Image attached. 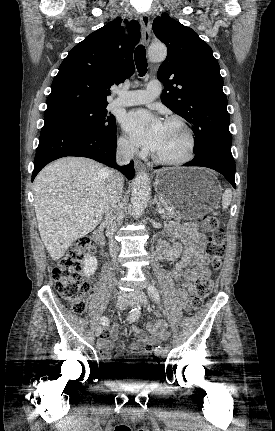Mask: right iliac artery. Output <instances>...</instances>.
<instances>
[{
  "mask_svg": "<svg viewBox=\"0 0 275 431\" xmlns=\"http://www.w3.org/2000/svg\"><path fill=\"white\" fill-rule=\"evenodd\" d=\"M140 316V306L137 305L134 308H132V310L130 311L129 315H128V321L129 322H135L136 320H138ZM100 323L105 326L108 325L109 320L106 316H103L100 318Z\"/></svg>",
  "mask_w": 275,
  "mask_h": 431,
  "instance_id": "right-iliac-artery-1",
  "label": "right iliac artery"
}]
</instances>
